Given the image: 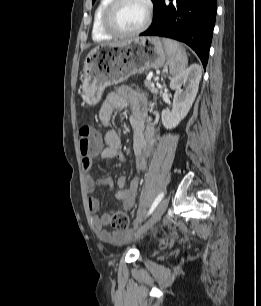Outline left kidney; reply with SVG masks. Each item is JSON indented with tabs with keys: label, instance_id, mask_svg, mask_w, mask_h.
<instances>
[{
	"label": "left kidney",
	"instance_id": "obj_1",
	"mask_svg": "<svg viewBox=\"0 0 261 306\" xmlns=\"http://www.w3.org/2000/svg\"><path fill=\"white\" fill-rule=\"evenodd\" d=\"M202 69L198 64H192L170 82V88L175 90L172 111H162V123L166 129L175 128L188 114L198 92ZM184 86L185 89H181Z\"/></svg>",
	"mask_w": 261,
	"mask_h": 306
}]
</instances>
